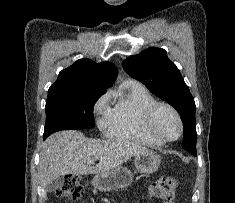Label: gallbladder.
<instances>
[{"instance_id":"bac80fb5","label":"gallbladder","mask_w":235,"mask_h":203,"mask_svg":"<svg viewBox=\"0 0 235 203\" xmlns=\"http://www.w3.org/2000/svg\"><path fill=\"white\" fill-rule=\"evenodd\" d=\"M61 184V179L57 178L53 180L46 188L48 192H53L56 188H58Z\"/></svg>"}]
</instances>
